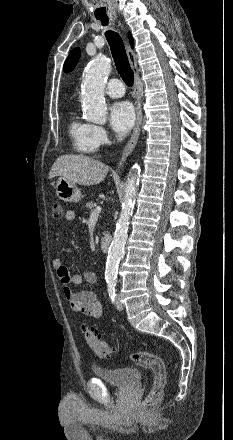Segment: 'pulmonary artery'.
<instances>
[{"instance_id":"pulmonary-artery-1","label":"pulmonary artery","mask_w":233,"mask_h":440,"mask_svg":"<svg viewBox=\"0 0 233 440\" xmlns=\"http://www.w3.org/2000/svg\"><path fill=\"white\" fill-rule=\"evenodd\" d=\"M106 93L113 98H119L124 95V86L118 79H111L106 85Z\"/></svg>"}]
</instances>
